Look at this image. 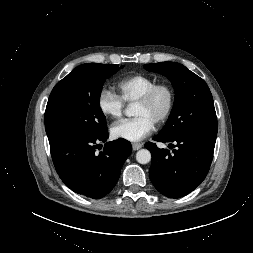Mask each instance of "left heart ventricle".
I'll list each match as a JSON object with an SVG mask.
<instances>
[{
  "label": "left heart ventricle",
  "instance_id": "b2bd125f",
  "mask_svg": "<svg viewBox=\"0 0 253 253\" xmlns=\"http://www.w3.org/2000/svg\"><path fill=\"white\" fill-rule=\"evenodd\" d=\"M167 105L168 93L166 90L162 89L157 92L149 104H136L134 108V115L136 117L146 116L155 123L156 120L164 113Z\"/></svg>",
  "mask_w": 253,
  "mask_h": 253
}]
</instances>
